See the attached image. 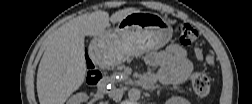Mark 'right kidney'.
Instances as JSON below:
<instances>
[{
    "label": "right kidney",
    "instance_id": "obj_1",
    "mask_svg": "<svg viewBox=\"0 0 252 104\" xmlns=\"http://www.w3.org/2000/svg\"><path fill=\"white\" fill-rule=\"evenodd\" d=\"M88 100V96L86 93H77L73 95L69 100L68 104H82Z\"/></svg>",
    "mask_w": 252,
    "mask_h": 104
}]
</instances>
